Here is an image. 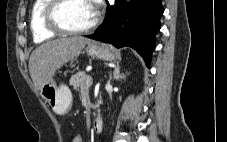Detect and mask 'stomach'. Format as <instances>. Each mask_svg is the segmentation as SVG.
Wrapping results in <instances>:
<instances>
[{
  "instance_id": "obj_1",
  "label": "stomach",
  "mask_w": 227,
  "mask_h": 142,
  "mask_svg": "<svg viewBox=\"0 0 227 142\" xmlns=\"http://www.w3.org/2000/svg\"><path fill=\"white\" fill-rule=\"evenodd\" d=\"M89 55L102 60L113 61L119 53L113 48L97 42H89L86 48ZM41 96L52 107L57 114H65L70 109L72 94L70 89L62 84L57 85L51 77L41 87Z\"/></svg>"
}]
</instances>
